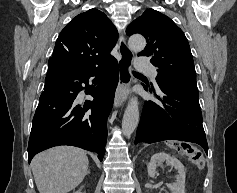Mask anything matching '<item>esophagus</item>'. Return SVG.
Segmentation results:
<instances>
[{"label":"esophagus","instance_id":"obj_1","mask_svg":"<svg viewBox=\"0 0 237 193\" xmlns=\"http://www.w3.org/2000/svg\"><path fill=\"white\" fill-rule=\"evenodd\" d=\"M119 82L114 97V107L122 104L132 82L131 66L133 61V52L126 43L124 34L119 39Z\"/></svg>","mask_w":237,"mask_h":193}]
</instances>
